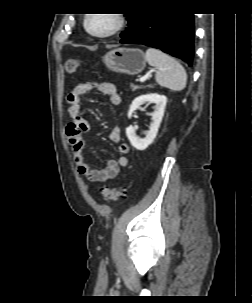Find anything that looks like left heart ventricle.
<instances>
[{
    "label": "left heart ventricle",
    "mask_w": 252,
    "mask_h": 303,
    "mask_svg": "<svg viewBox=\"0 0 252 303\" xmlns=\"http://www.w3.org/2000/svg\"><path fill=\"white\" fill-rule=\"evenodd\" d=\"M112 24L113 17L107 14L94 15L89 21L90 28L95 31L108 29Z\"/></svg>",
    "instance_id": "left-heart-ventricle-1"
}]
</instances>
